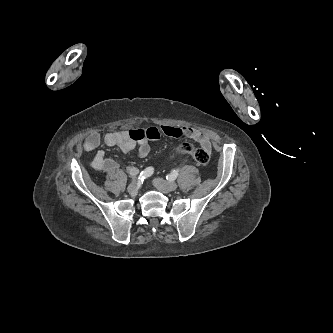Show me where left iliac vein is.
Segmentation results:
<instances>
[{
    "label": "left iliac vein",
    "mask_w": 333,
    "mask_h": 333,
    "mask_svg": "<svg viewBox=\"0 0 333 333\" xmlns=\"http://www.w3.org/2000/svg\"><path fill=\"white\" fill-rule=\"evenodd\" d=\"M154 186L163 193H168L177 189L175 182H167L162 178H156L153 181Z\"/></svg>",
    "instance_id": "left-iliac-vein-1"
}]
</instances>
